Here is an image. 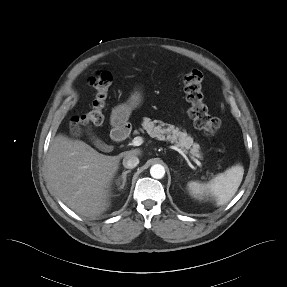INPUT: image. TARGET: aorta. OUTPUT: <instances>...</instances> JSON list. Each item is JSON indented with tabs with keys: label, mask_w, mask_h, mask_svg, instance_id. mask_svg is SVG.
Listing matches in <instances>:
<instances>
[{
	"label": "aorta",
	"mask_w": 287,
	"mask_h": 287,
	"mask_svg": "<svg viewBox=\"0 0 287 287\" xmlns=\"http://www.w3.org/2000/svg\"><path fill=\"white\" fill-rule=\"evenodd\" d=\"M150 174L155 179H161L165 175V169L160 164H155L150 168Z\"/></svg>",
	"instance_id": "1"
}]
</instances>
